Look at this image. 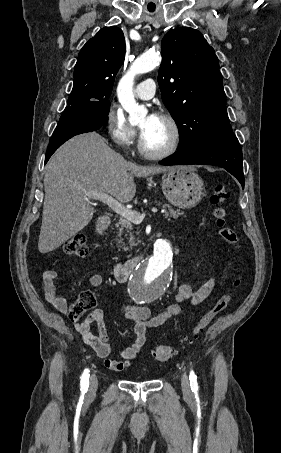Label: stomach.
<instances>
[{"label":"stomach","mask_w":281,"mask_h":453,"mask_svg":"<svg viewBox=\"0 0 281 453\" xmlns=\"http://www.w3.org/2000/svg\"><path fill=\"white\" fill-rule=\"evenodd\" d=\"M162 190L169 202L180 208H191L204 194V182L193 166H178L164 172Z\"/></svg>","instance_id":"1"}]
</instances>
